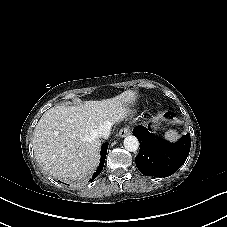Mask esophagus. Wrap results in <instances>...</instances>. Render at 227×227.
Instances as JSON below:
<instances>
[{"label":"esophagus","mask_w":227,"mask_h":227,"mask_svg":"<svg viewBox=\"0 0 227 227\" xmlns=\"http://www.w3.org/2000/svg\"><path fill=\"white\" fill-rule=\"evenodd\" d=\"M130 134V128L128 126L123 127L120 131H119V136L120 137H126Z\"/></svg>","instance_id":"1"}]
</instances>
